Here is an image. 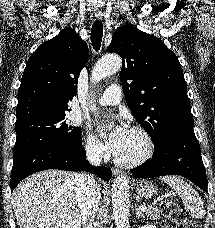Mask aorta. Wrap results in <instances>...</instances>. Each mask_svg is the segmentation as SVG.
Listing matches in <instances>:
<instances>
[{"mask_svg":"<svg viewBox=\"0 0 215 228\" xmlns=\"http://www.w3.org/2000/svg\"><path fill=\"white\" fill-rule=\"evenodd\" d=\"M122 68V58L120 56H108L97 62L93 68V78L95 82L107 78L110 74L118 72ZM129 182L128 176H118L112 186V206L116 228H130L129 226Z\"/></svg>","mask_w":215,"mask_h":228,"instance_id":"762f6f07","label":"aorta"}]
</instances>
